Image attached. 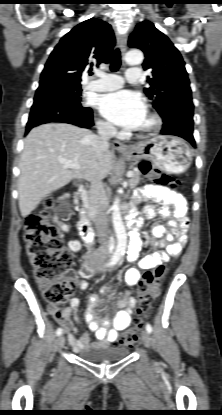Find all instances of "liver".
I'll return each instance as SVG.
<instances>
[{
    "label": "liver",
    "mask_w": 222,
    "mask_h": 415,
    "mask_svg": "<svg viewBox=\"0 0 222 415\" xmlns=\"http://www.w3.org/2000/svg\"><path fill=\"white\" fill-rule=\"evenodd\" d=\"M92 134L66 123L33 128L24 141L18 179L19 209L27 217L51 192L76 178H105L112 169L113 152L102 156L93 150ZM60 159L75 161L80 169L65 168Z\"/></svg>",
    "instance_id": "1"
}]
</instances>
